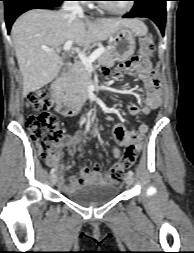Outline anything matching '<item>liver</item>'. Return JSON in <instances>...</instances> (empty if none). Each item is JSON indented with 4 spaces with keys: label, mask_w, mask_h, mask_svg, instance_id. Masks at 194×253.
Segmentation results:
<instances>
[{
    "label": "liver",
    "mask_w": 194,
    "mask_h": 253,
    "mask_svg": "<svg viewBox=\"0 0 194 253\" xmlns=\"http://www.w3.org/2000/svg\"><path fill=\"white\" fill-rule=\"evenodd\" d=\"M122 26L139 36L148 30L139 19L91 21L83 14L64 10L34 9L21 15L13 24L11 35L23 77V95L50 83L61 69V58L55 51H43V46L55 50L69 40L80 47L89 46L95 41L107 40Z\"/></svg>",
    "instance_id": "1"
}]
</instances>
